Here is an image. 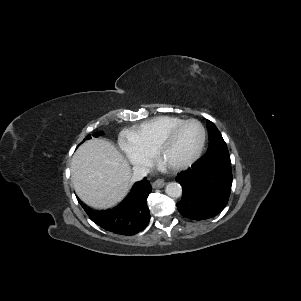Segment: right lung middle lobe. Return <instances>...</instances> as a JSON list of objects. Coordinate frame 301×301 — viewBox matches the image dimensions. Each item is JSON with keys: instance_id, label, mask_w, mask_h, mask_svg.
I'll return each mask as SVG.
<instances>
[{"instance_id": "1", "label": "right lung middle lobe", "mask_w": 301, "mask_h": 301, "mask_svg": "<svg viewBox=\"0 0 301 301\" xmlns=\"http://www.w3.org/2000/svg\"><path fill=\"white\" fill-rule=\"evenodd\" d=\"M101 135V133H97V134H94L95 137ZM90 137H87L86 139H89Z\"/></svg>"}]
</instances>
